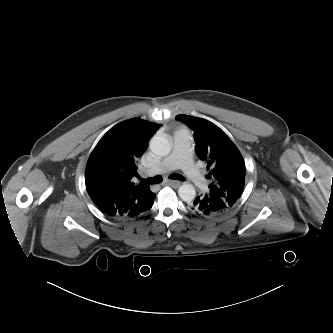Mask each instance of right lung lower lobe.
<instances>
[{
	"instance_id": "right-lung-lower-lobe-1",
	"label": "right lung lower lobe",
	"mask_w": 333,
	"mask_h": 333,
	"mask_svg": "<svg viewBox=\"0 0 333 333\" xmlns=\"http://www.w3.org/2000/svg\"><path fill=\"white\" fill-rule=\"evenodd\" d=\"M155 197H156V194L151 192V195L149 196L150 203H149L148 207H146L145 209H142V210H138V211H135L133 209L127 210L120 204H115L112 202L101 203V204H98L97 206L104 214H106L110 217H115L118 219H129V218L137 217L138 215L144 213L150 207H152Z\"/></svg>"
}]
</instances>
